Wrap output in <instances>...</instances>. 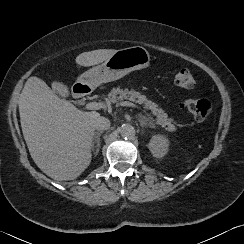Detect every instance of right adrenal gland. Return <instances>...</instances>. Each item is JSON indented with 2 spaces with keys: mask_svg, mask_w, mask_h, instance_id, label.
Wrapping results in <instances>:
<instances>
[{
  "mask_svg": "<svg viewBox=\"0 0 244 244\" xmlns=\"http://www.w3.org/2000/svg\"><path fill=\"white\" fill-rule=\"evenodd\" d=\"M103 131H100V132H96L95 133V136L93 138V142H92V148L93 150L95 149V155H97L99 153V150H100V145H101V142H100V136L102 135ZM94 144H96V146H94Z\"/></svg>",
  "mask_w": 244,
  "mask_h": 244,
  "instance_id": "1",
  "label": "right adrenal gland"
}]
</instances>
